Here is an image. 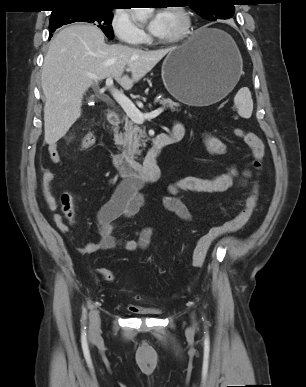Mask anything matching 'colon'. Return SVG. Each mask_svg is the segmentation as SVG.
<instances>
[{
  "label": "colon",
  "instance_id": "colon-1",
  "mask_svg": "<svg viewBox=\"0 0 306 387\" xmlns=\"http://www.w3.org/2000/svg\"><path fill=\"white\" fill-rule=\"evenodd\" d=\"M236 136L250 148L252 153V166L259 172L263 167V159L265 155L264 144L262 140L253 132L241 128L234 130ZM96 144V136L93 133L86 134L80 143V148L83 150L92 148ZM258 200V184L255 182L251 194L245 202L244 208L233 219L226 223L213 227L208 233L202 235L197 240L192 253V265L195 268H201L205 262L207 253L211 245L220 237L234 233L242 229L250 220ZM61 209L69 220L75 217V202L74 197L70 193H64L61 196ZM100 275L103 279L109 282L116 281V276L113 272L107 269H100Z\"/></svg>",
  "mask_w": 306,
  "mask_h": 387
}]
</instances>
